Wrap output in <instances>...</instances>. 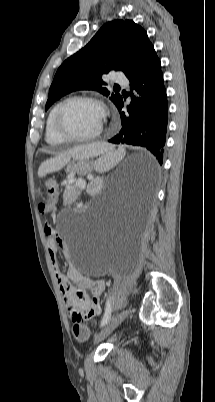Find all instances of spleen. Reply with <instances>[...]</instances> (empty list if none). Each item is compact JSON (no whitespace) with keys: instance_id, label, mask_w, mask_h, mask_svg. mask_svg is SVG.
<instances>
[{"instance_id":"spleen-1","label":"spleen","mask_w":215,"mask_h":402,"mask_svg":"<svg viewBox=\"0 0 215 402\" xmlns=\"http://www.w3.org/2000/svg\"><path fill=\"white\" fill-rule=\"evenodd\" d=\"M104 152H106V154L103 157L97 159L93 164V167L96 171L101 172L109 169L115 157H122L125 154L124 149L114 151L113 146L107 143H92L89 145H82L80 147L72 149L68 153L63 154L61 157L50 159L44 162L39 168V175L44 176L49 172L60 169L71 159V157L82 159L84 157L98 155Z\"/></svg>"}]
</instances>
